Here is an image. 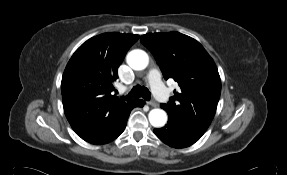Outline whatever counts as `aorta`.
I'll list each match as a JSON object with an SVG mask.
<instances>
[{
    "label": "aorta",
    "mask_w": 287,
    "mask_h": 175,
    "mask_svg": "<svg viewBox=\"0 0 287 175\" xmlns=\"http://www.w3.org/2000/svg\"><path fill=\"white\" fill-rule=\"evenodd\" d=\"M127 64L133 70H143L148 66L149 57L147 53L140 49L132 50L126 57ZM149 122L152 126L160 128L167 122V114L162 109H152L148 115Z\"/></svg>",
    "instance_id": "aorta-1"
}]
</instances>
